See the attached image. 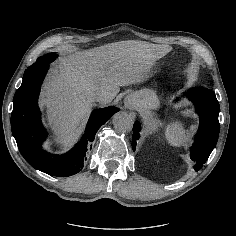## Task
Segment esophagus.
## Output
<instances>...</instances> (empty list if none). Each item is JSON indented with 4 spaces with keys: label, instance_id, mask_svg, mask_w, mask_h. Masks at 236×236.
<instances>
[{
    "label": "esophagus",
    "instance_id": "1",
    "mask_svg": "<svg viewBox=\"0 0 236 236\" xmlns=\"http://www.w3.org/2000/svg\"><path fill=\"white\" fill-rule=\"evenodd\" d=\"M124 107L129 110H134L136 107L135 97L133 95H128L124 100Z\"/></svg>",
    "mask_w": 236,
    "mask_h": 236
}]
</instances>
